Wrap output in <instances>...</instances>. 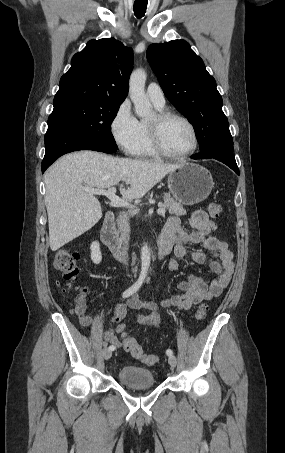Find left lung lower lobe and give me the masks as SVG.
I'll use <instances>...</instances> for the list:
<instances>
[{
    "label": "left lung lower lobe",
    "mask_w": 285,
    "mask_h": 453,
    "mask_svg": "<svg viewBox=\"0 0 285 453\" xmlns=\"http://www.w3.org/2000/svg\"><path fill=\"white\" fill-rule=\"evenodd\" d=\"M193 159H216L229 166L232 170L239 175V169L237 167L235 157L233 154V147L229 146H214L206 150L201 151L198 154L191 156Z\"/></svg>",
    "instance_id": "left-lung-lower-lobe-1"
}]
</instances>
